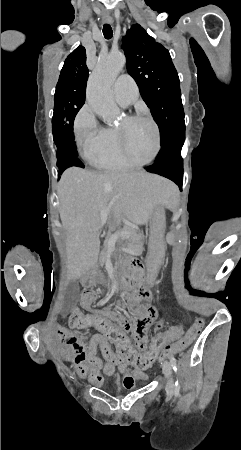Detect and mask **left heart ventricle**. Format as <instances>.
Listing matches in <instances>:
<instances>
[{"instance_id": "b2bd125f", "label": "left heart ventricle", "mask_w": 241, "mask_h": 450, "mask_svg": "<svg viewBox=\"0 0 241 450\" xmlns=\"http://www.w3.org/2000/svg\"><path fill=\"white\" fill-rule=\"evenodd\" d=\"M152 117L147 113H139L134 121L126 124L124 139V149L129 153L127 163L130 169H139L146 160L153 159V132L154 127Z\"/></svg>"}]
</instances>
